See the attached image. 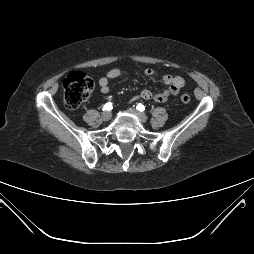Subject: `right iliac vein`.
<instances>
[{"label": "right iliac vein", "mask_w": 254, "mask_h": 254, "mask_svg": "<svg viewBox=\"0 0 254 254\" xmlns=\"http://www.w3.org/2000/svg\"><path fill=\"white\" fill-rule=\"evenodd\" d=\"M111 118V113L109 111H105L102 113V120L108 121Z\"/></svg>", "instance_id": "obj_1"}]
</instances>
